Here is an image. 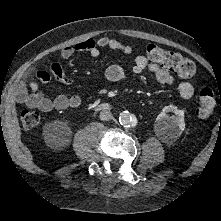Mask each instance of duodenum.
Here are the masks:
<instances>
[{
    "label": "duodenum",
    "instance_id": "410a0bca",
    "mask_svg": "<svg viewBox=\"0 0 221 221\" xmlns=\"http://www.w3.org/2000/svg\"><path fill=\"white\" fill-rule=\"evenodd\" d=\"M101 108L104 109V110H109L111 107H110V105H108V104H103V105L101 106Z\"/></svg>",
    "mask_w": 221,
    "mask_h": 221
}]
</instances>
